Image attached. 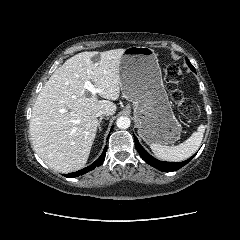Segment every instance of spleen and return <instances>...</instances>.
I'll return each instance as SVG.
<instances>
[{"label":"spleen","instance_id":"1","mask_svg":"<svg viewBox=\"0 0 240 240\" xmlns=\"http://www.w3.org/2000/svg\"><path fill=\"white\" fill-rule=\"evenodd\" d=\"M205 132V126L200 125L197 128V132L192 135L183 143L177 146H165L161 144L153 143L150 148L154 155L164 161L179 162L192 156L200 147L203 134Z\"/></svg>","mask_w":240,"mask_h":240}]
</instances>
